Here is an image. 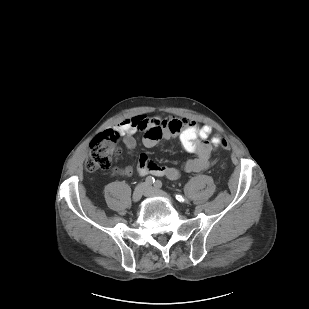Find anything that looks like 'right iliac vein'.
Segmentation results:
<instances>
[{
	"label": "right iliac vein",
	"instance_id": "obj_1",
	"mask_svg": "<svg viewBox=\"0 0 309 309\" xmlns=\"http://www.w3.org/2000/svg\"><path fill=\"white\" fill-rule=\"evenodd\" d=\"M148 193V187H147V184H139L134 192H133V195H132V200L134 202H138L140 201V199L146 195Z\"/></svg>",
	"mask_w": 309,
	"mask_h": 309
}]
</instances>
